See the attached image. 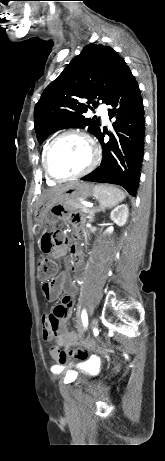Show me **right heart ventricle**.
Masks as SVG:
<instances>
[{"mask_svg": "<svg viewBox=\"0 0 165 461\" xmlns=\"http://www.w3.org/2000/svg\"><path fill=\"white\" fill-rule=\"evenodd\" d=\"M47 145H48V143L44 146V149H43V156H44V152H45V150H46ZM47 180H48L49 184H53V183H54V181L51 180L49 177H47Z\"/></svg>", "mask_w": 165, "mask_h": 461, "instance_id": "1", "label": "right heart ventricle"}]
</instances>
